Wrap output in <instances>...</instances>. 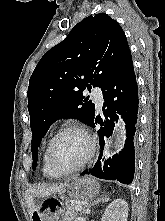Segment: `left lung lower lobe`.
Returning a JSON list of instances; mask_svg holds the SVG:
<instances>
[{
    "instance_id": "1",
    "label": "left lung lower lobe",
    "mask_w": 165,
    "mask_h": 221,
    "mask_svg": "<svg viewBox=\"0 0 165 221\" xmlns=\"http://www.w3.org/2000/svg\"><path fill=\"white\" fill-rule=\"evenodd\" d=\"M102 90L105 101L103 105L104 120L94 118L90 123L91 126H95L97 123L101 125L98 131L101 153L95 167L81 174L130 184L133 181L135 170L134 135L139 104L138 87L131 54ZM117 113L122 115L126 123L127 138L124 149L112 158H108L101 165L102 151L112 135L115 121L118 120Z\"/></svg>"
}]
</instances>
